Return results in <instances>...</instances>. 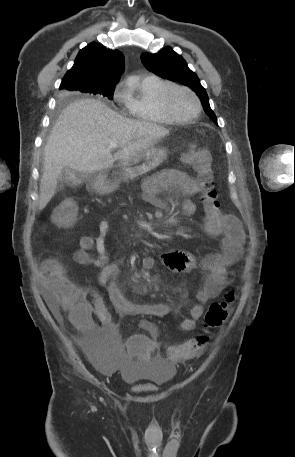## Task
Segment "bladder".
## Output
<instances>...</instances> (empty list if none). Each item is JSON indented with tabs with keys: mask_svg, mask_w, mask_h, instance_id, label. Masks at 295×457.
<instances>
[{
	"mask_svg": "<svg viewBox=\"0 0 295 457\" xmlns=\"http://www.w3.org/2000/svg\"><path fill=\"white\" fill-rule=\"evenodd\" d=\"M119 338H77V347L82 348V355L88 356L92 364L100 371L119 370L125 383L131 386L147 388L162 386L174 375L172 364L165 359L163 352H158L151 359L150 366H135L133 361L118 363L117 347Z\"/></svg>",
	"mask_w": 295,
	"mask_h": 457,
	"instance_id": "bladder-1",
	"label": "bladder"
}]
</instances>
